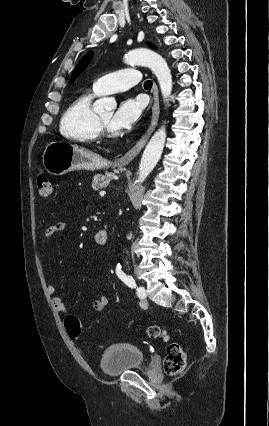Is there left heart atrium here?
<instances>
[{"instance_id": "39dd6f15", "label": "left heart atrium", "mask_w": 269, "mask_h": 426, "mask_svg": "<svg viewBox=\"0 0 269 426\" xmlns=\"http://www.w3.org/2000/svg\"><path fill=\"white\" fill-rule=\"evenodd\" d=\"M144 103L138 98H127L120 103L113 114L109 128L113 131H122L133 126L140 118Z\"/></svg>"}]
</instances>
